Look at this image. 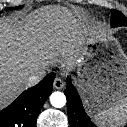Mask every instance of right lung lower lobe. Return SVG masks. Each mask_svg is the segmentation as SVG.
I'll use <instances>...</instances> for the list:
<instances>
[{
    "instance_id": "obj_1",
    "label": "right lung lower lobe",
    "mask_w": 127,
    "mask_h": 127,
    "mask_svg": "<svg viewBox=\"0 0 127 127\" xmlns=\"http://www.w3.org/2000/svg\"><path fill=\"white\" fill-rule=\"evenodd\" d=\"M54 73L24 91L11 105L0 111V127H36L39 112L53 89Z\"/></svg>"
}]
</instances>
